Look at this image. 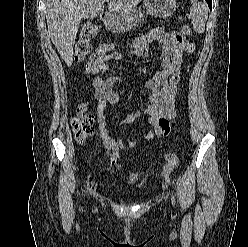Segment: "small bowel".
<instances>
[{"instance_id":"small-bowel-1","label":"small bowel","mask_w":248,"mask_h":247,"mask_svg":"<svg viewBox=\"0 0 248 247\" xmlns=\"http://www.w3.org/2000/svg\"><path fill=\"white\" fill-rule=\"evenodd\" d=\"M156 41L162 48L161 69L156 71L151 77L146 79L143 84L151 93L149 102L143 111H136L127 115L120 121V124L127 126L136 119L146 116L152 129L146 137L149 141L153 137L167 136L170 132L169 121L176 115L175 100L178 84L181 80V65L184 53H192L194 45L190 43L183 35L172 32L166 33L161 37L155 38L153 35L134 40L131 45V53L147 58L149 56V44ZM122 55L115 51L105 56L99 66L100 73H105L109 69L111 61H119ZM120 81V77L111 76L104 78L100 75L93 79L95 88V97L98 105V121L100 128V138L103 141L104 149L110 156V163L115 164L120 150L126 149L125 144L115 139L108 126L107 105H116L119 102V94L115 85ZM135 143L130 141L129 147L133 148ZM111 152L113 154L111 155ZM177 164V158L173 154L166 156L165 169L171 170Z\"/></svg>"}]
</instances>
